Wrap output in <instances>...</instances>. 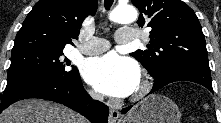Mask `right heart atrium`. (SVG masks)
Instances as JSON below:
<instances>
[{"mask_svg": "<svg viewBox=\"0 0 221 123\" xmlns=\"http://www.w3.org/2000/svg\"><path fill=\"white\" fill-rule=\"evenodd\" d=\"M89 96H90L92 99H98V98H99V96H98L96 93L92 92V91H89Z\"/></svg>", "mask_w": 221, "mask_h": 123, "instance_id": "d8ad5b80", "label": "right heart atrium"}]
</instances>
